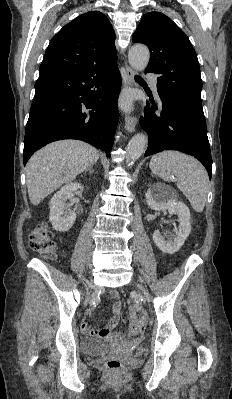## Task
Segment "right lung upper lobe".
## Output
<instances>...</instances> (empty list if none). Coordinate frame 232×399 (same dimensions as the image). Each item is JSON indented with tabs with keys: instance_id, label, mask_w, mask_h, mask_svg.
Here are the masks:
<instances>
[{
	"instance_id": "1",
	"label": "right lung upper lobe",
	"mask_w": 232,
	"mask_h": 399,
	"mask_svg": "<svg viewBox=\"0 0 232 399\" xmlns=\"http://www.w3.org/2000/svg\"><path fill=\"white\" fill-rule=\"evenodd\" d=\"M116 59L115 32L108 18L91 11L75 18L52 38L40 71L84 69Z\"/></svg>"
}]
</instances>
